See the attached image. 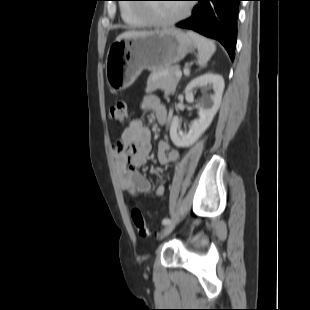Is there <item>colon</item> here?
<instances>
[{"instance_id": "5ec220e1", "label": "colon", "mask_w": 310, "mask_h": 310, "mask_svg": "<svg viewBox=\"0 0 310 310\" xmlns=\"http://www.w3.org/2000/svg\"><path fill=\"white\" fill-rule=\"evenodd\" d=\"M109 117L119 124L125 123L128 117L127 103L124 100H117L109 110ZM130 215L140 236L145 238L153 236L152 229L146 223L142 212L137 207L131 209Z\"/></svg>"}]
</instances>
